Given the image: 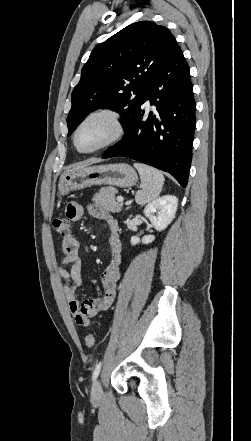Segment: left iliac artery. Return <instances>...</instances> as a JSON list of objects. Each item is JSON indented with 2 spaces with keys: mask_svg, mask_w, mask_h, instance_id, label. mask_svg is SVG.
<instances>
[{
  "mask_svg": "<svg viewBox=\"0 0 251 441\" xmlns=\"http://www.w3.org/2000/svg\"><path fill=\"white\" fill-rule=\"evenodd\" d=\"M101 365H102L101 362H99V363L96 365V367H95V369H94V371H93V374H92V380H95V379L98 377V375H99V373H100Z\"/></svg>",
  "mask_w": 251,
  "mask_h": 441,
  "instance_id": "1",
  "label": "left iliac artery"
}]
</instances>
